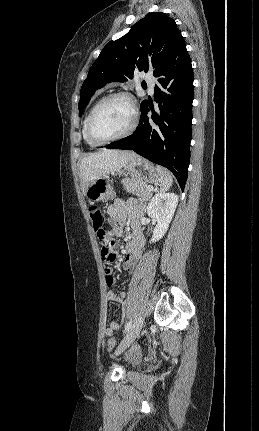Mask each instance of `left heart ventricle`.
<instances>
[{
	"mask_svg": "<svg viewBox=\"0 0 259 431\" xmlns=\"http://www.w3.org/2000/svg\"><path fill=\"white\" fill-rule=\"evenodd\" d=\"M132 123V111L124 99L106 103L97 113L93 132L99 139H107L125 132Z\"/></svg>",
	"mask_w": 259,
	"mask_h": 431,
	"instance_id": "b2bd125f",
	"label": "left heart ventricle"
}]
</instances>
